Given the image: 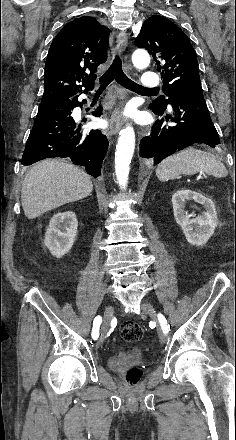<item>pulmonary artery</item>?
Returning <instances> with one entry per match:
<instances>
[{
    "label": "pulmonary artery",
    "instance_id": "pulmonary-artery-1",
    "mask_svg": "<svg viewBox=\"0 0 236 440\" xmlns=\"http://www.w3.org/2000/svg\"><path fill=\"white\" fill-rule=\"evenodd\" d=\"M159 84V76L156 73L152 72H146L141 82V86L146 89L156 88Z\"/></svg>",
    "mask_w": 236,
    "mask_h": 440
}]
</instances>
